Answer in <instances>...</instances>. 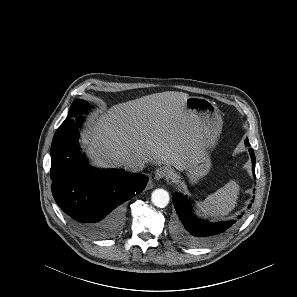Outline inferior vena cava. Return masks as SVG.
Masks as SVG:
<instances>
[{
  "instance_id": "obj_1",
  "label": "inferior vena cava",
  "mask_w": 297,
  "mask_h": 297,
  "mask_svg": "<svg viewBox=\"0 0 297 297\" xmlns=\"http://www.w3.org/2000/svg\"><path fill=\"white\" fill-rule=\"evenodd\" d=\"M146 162L147 159L145 157L140 155H131L124 160L123 166L129 171L139 172L143 170Z\"/></svg>"
}]
</instances>
